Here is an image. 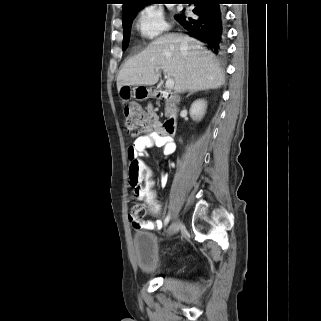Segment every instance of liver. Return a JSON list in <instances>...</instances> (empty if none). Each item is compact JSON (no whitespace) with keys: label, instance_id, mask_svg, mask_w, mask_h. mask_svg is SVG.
Masks as SVG:
<instances>
[{"label":"liver","instance_id":"1","mask_svg":"<svg viewBox=\"0 0 321 321\" xmlns=\"http://www.w3.org/2000/svg\"><path fill=\"white\" fill-rule=\"evenodd\" d=\"M160 69L174 79L176 93L216 89L225 81L218 62L200 41L186 35L167 34L124 64L117 77V89L125 85H154L159 80Z\"/></svg>","mask_w":321,"mask_h":321}]
</instances>
